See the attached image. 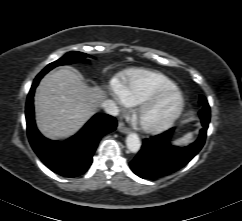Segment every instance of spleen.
Segmentation results:
<instances>
[{
    "label": "spleen",
    "mask_w": 242,
    "mask_h": 221,
    "mask_svg": "<svg viewBox=\"0 0 242 221\" xmlns=\"http://www.w3.org/2000/svg\"><path fill=\"white\" fill-rule=\"evenodd\" d=\"M192 137H193V133L192 132H189V133L185 134L183 137L175 140L173 142V144L174 145H178V146L187 144L188 142H190V140L192 139Z\"/></svg>",
    "instance_id": "spleen-1"
}]
</instances>
